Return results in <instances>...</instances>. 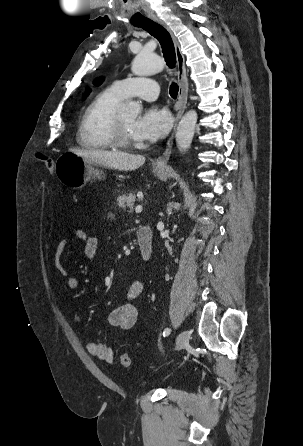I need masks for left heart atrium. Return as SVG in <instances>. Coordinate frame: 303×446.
I'll return each mask as SVG.
<instances>
[{"label":"left heart atrium","mask_w":303,"mask_h":446,"mask_svg":"<svg viewBox=\"0 0 303 446\" xmlns=\"http://www.w3.org/2000/svg\"><path fill=\"white\" fill-rule=\"evenodd\" d=\"M172 117L165 108L150 107L139 116L133 125V136L138 140L156 141L167 135Z\"/></svg>","instance_id":"39dd6f15"}]
</instances>
